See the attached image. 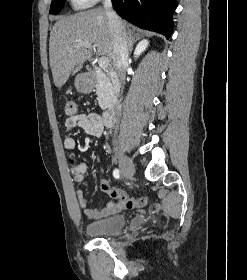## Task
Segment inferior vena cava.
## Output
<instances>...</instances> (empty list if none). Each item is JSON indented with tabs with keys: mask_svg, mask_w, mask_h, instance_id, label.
I'll return each instance as SVG.
<instances>
[{
	"mask_svg": "<svg viewBox=\"0 0 247 280\" xmlns=\"http://www.w3.org/2000/svg\"><path fill=\"white\" fill-rule=\"evenodd\" d=\"M103 7L113 36V65L122 84L125 80V67L128 64V33L123 22L113 9L111 0H104Z\"/></svg>",
	"mask_w": 247,
	"mask_h": 280,
	"instance_id": "obj_1",
	"label": "inferior vena cava"
}]
</instances>
